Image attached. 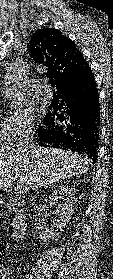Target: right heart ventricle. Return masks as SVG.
Wrapping results in <instances>:
<instances>
[{
	"label": "right heart ventricle",
	"instance_id": "1",
	"mask_svg": "<svg viewBox=\"0 0 113 279\" xmlns=\"http://www.w3.org/2000/svg\"><path fill=\"white\" fill-rule=\"evenodd\" d=\"M8 136L5 130L4 122H3V117L1 115L0 117V145L4 144L7 142Z\"/></svg>",
	"mask_w": 113,
	"mask_h": 279
}]
</instances>
